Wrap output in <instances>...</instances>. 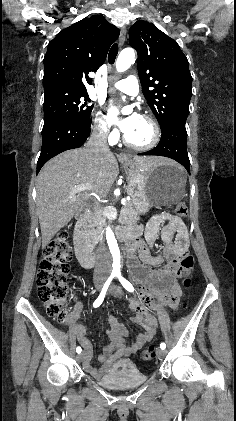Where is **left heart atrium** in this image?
Listing matches in <instances>:
<instances>
[{"mask_svg": "<svg viewBox=\"0 0 236 421\" xmlns=\"http://www.w3.org/2000/svg\"><path fill=\"white\" fill-rule=\"evenodd\" d=\"M111 114L114 116L115 115V109L113 106H111L110 108ZM139 118L138 114H132L131 116L122 119V120H117V123L120 127V129L124 132L127 133L130 131V129L132 128V126L134 125L135 121Z\"/></svg>", "mask_w": 236, "mask_h": 421, "instance_id": "1", "label": "left heart atrium"}]
</instances>
